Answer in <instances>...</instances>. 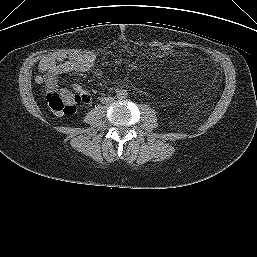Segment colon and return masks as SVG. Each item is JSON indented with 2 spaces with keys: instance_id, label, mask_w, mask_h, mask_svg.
I'll use <instances>...</instances> for the list:
<instances>
[{
  "instance_id": "1",
  "label": "colon",
  "mask_w": 257,
  "mask_h": 257,
  "mask_svg": "<svg viewBox=\"0 0 257 257\" xmlns=\"http://www.w3.org/2000/svg\"><path fill=\"white\" fill-rule=\"evenodd\" d=\"M172 51L169 45H160L158 52L167 55ZM49 108L59 115H72L76 112L81 103L86 102L83 94L74 93L68 90H49L46 95Z\"/></svg>"
}]
</instances>
